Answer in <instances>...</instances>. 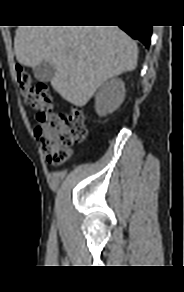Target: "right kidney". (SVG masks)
<instances>
[{
    "label": "right kidney",
    "instance_id": "1",
    "mask_svg": "<svg viewBox=\"0 0 184 292\" xmlns=\"http://www.w3.org/2000/svg\"><path fill=\"white\" fill-rule=\"evenodd\" d=\"M125 87L121 79L105 82L95 97V109L99 116L115 111L124 101Z\"/></svg>",
    "mask_w": 184,
    "mask_h": 292
}]
</instances>
